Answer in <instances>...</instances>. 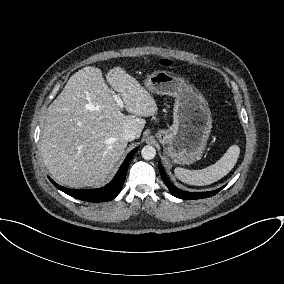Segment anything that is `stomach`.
I'll return each instance as SVG.
<instances>
[{
	"label": "stomach",
	"instance_id": "0dacf381",
	"mask_svg": "<svg viewBox=\"0 0 284 284\" xmlns=\"http://www.w3.org/2000/svg\"><path fill=\"white\" fill-rule=\"evenodd\" d=\"M149 91L175 98L173 125L156 137L167 160L189 165L198 160L207 145L212 117L203 95L187 80L168 71H156L145 80Z\"/></svg>",
	"mask_w": 284,
	"mask_h": 284
}]
</instances>
